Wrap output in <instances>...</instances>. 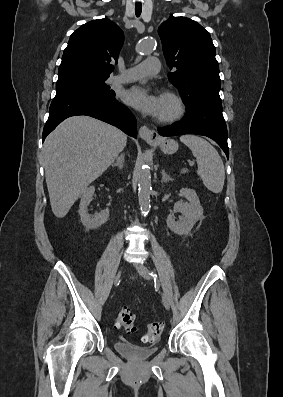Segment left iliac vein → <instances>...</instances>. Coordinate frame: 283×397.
Instances as JSON below:
<instances>
[{
    "label": "left iliac vein",
    "instance_id": "obj_1",
    "mask_svg": "<svg viewBox=\"0 0 283 397\" xmlns=\"http://www.w3.org/2000/svg\"><path fill=\"white\" fill-rule=\"evenodd\" d=\"M135 268L139 272V274L142 275L145 279L152 280V277H151L148 269L143 264H141V263L135 264ZM162 302H163L164 307L167 310H169L170 302L165 295L162 296Z\"/></svg>",
    "mask_w": 283,
    "mask_h": 397
}]
</instances>
